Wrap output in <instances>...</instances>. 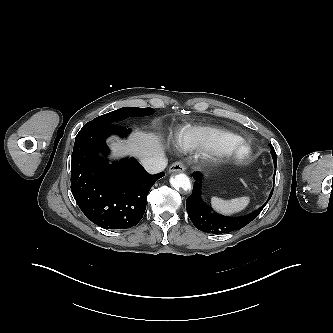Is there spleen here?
Returning <instances> with one entry per match:
<instances>
[{
	"label": "spleen",
	"mask_w": 333,
	"mask_h": 333,
	"mask_svg": "<svg viewBox=\"0 0 333 333\" xmlns=\"http://www.w3.org/2000/svg\"><path fill=\"white\" fill-rule=\"evenodd\" d=\"M250 202V198L247 196L234 198L231 200H223L218 197L211 198V205L213 209L223 215H231L242 211L247 207Z\"/></svg>",
	"instance_id": "spleen-1"
}]
</instances>
